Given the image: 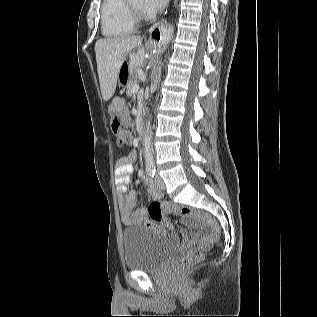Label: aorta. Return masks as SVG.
Wrapping results in <instances>:
<instances>
[{
	"label": "aorta",
	"instance_id": "obj_1",
	"mask_svg": "<svg viewBox=\"0 0 317 317\" xmlns=\"http://www.w3.org/2000/svg\"><path fill=\"white\" fill-rule=\"evenodd\" d=\"M151 140H152L151 118L149 116V120L146 123V131H145V135H144V139H143L144 156H145L146 165H148V166H153V164H154Z\"/></svg>",
	"mask_w": 317,
	"mask_h": 317
}]
</instances>
